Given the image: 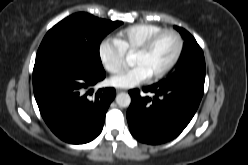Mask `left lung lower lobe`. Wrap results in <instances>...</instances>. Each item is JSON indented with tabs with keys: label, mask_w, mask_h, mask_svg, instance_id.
<instances>
[{
	"label": "left lung lower lobe",
	"mask_w": 248,
	"mask_h": 165,
	"mask_svg": "<svg viewBox=\"0 0 248 165\" xmlns=\"http://www.w3.org/2000/svg\"><path fill=\"white\" fill-rule=\"evenodd\" d=\"M205 72H191L144 87L153 98L129 91L127 120L131 134L140 142L160 144L177 137L193 118L204 92Z\"/></svg>",
	"instance_id": "left-lung-lower-lobe-1"
}]
</instances>
